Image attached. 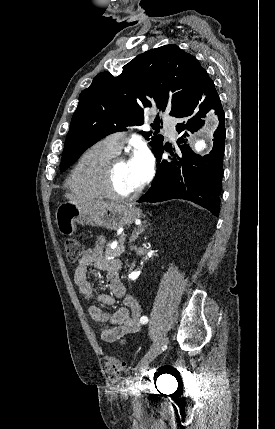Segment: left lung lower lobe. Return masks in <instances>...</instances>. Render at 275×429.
<instances>
[{"label":"left lung lower lobe","mask_w":275,"mask_h":429,"mask_svg":"<svg viewBox=\"0 0 275 429\" xmlns=\"http://www.w3.org/2000/svg\"><path fill=\"white\" fill-rule=\"evenodd\" d=\"M206 95L204 102L199 104L202 94ZM211 108L216 110L219 126L214 133V145L210 154L200 156L195 154L188 145L183 143L187 131L193 133L204 124L202 118ZM180 123L176 130L182 136L177 140L180 152H171L169 159L162 157L163 147L157 158V173L148 192L138 202H160L170 199L192 201L218 216L220 211L221 182L223 176L222 160L225 146V114L213 81L205 69L199 78L190 101L177 114Z\"/></svg>","instance_id":"0a47b994"}]
</instances>
